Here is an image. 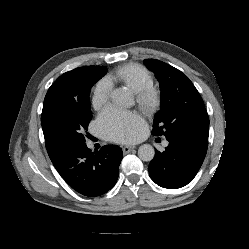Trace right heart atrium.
I'll use <instances>...</instances> for the list:
<instances>
[{
    "label": "right heart atrium",
    "instance_id": "obj_1",
    "mask_svg": "<svg viewBox=\"0 0 249 249\" xmlns=\"http://www.w3.org/2000/svg\"><path fill=\"white\" fill-rule=\"evenodd\" d=\"M113 90V82L108 77L100 79L93 90L92 103L101 108L109 101Z\"/></svg>",
    "mask_w": 249,
    "mask_h": 249
}]
</instances>
